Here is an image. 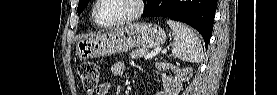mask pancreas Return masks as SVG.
Listing matches in <instances>:
<instances>
[{"label":"pancreas","instance_id":"pancreas-1","mask_svg":"<svg viewBox=\"0 0 277 95\" xmlns=\"http://www.w3.org/2000/svg\"><path fill=\"white\" fill-rule=\"evenodd\" d=\"M149 54L148 49L146 48H138V49H134L130 52V57L132 59H140V58H144Z\"/></svg>","mask_w":277,"mask_h":95}]
</instances>
